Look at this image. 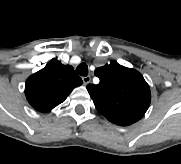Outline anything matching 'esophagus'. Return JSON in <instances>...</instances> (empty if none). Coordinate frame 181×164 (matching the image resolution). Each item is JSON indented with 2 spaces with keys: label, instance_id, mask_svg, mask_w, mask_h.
I'll return each instance as SVG.
<instances>
[{
  "label": "esophagus",
  "instance_id": "obj_1",
  "mask_svg": "<svg viewBox=\"0 0 181 164\" xmlns=\"http://www.w3.org/2000/svg\"><path fill=\"white\" fill-rule=\"evenodd\" d=\"M82 80H83V83H84L85 85H87V84L90 83L91 77H90V76H84V77L82 78Z\"/></svg>",
  "mask_w": 181,
  "mask_h": 164
}]
</instances>
